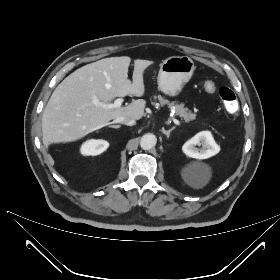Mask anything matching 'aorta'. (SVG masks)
Returning a JSON list of instances; mask_svg holds the SVG:
<instances>
[{
  "label": "aorta",
  "mask_w": 280,
  "mask_h": 280,
  "mask_svg": "<svg viewBox=\"0 0 280 280\" xmlns=\"http://www.w3.org/2000/svg\"><path fill=\"white\" fill-rule=\"evenodd\" d=\"M156 142H157L156 136L152 133H147L142 136L140 140V147L143 150H150L156 145Z\"/></svg>",
  "instance_id": "1"
}]
</instances>
